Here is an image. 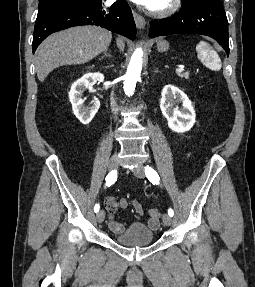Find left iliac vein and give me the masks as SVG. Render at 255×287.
<instances>
[{"label":"left iliac vein","instance_id":"obj_1","mask_svg":"<svg viewBox=\"0 0 255 287\" xmlns=\"http://www.w3.org/2000/svg\"><path fill=\"white\" fill-rule=\"evenodd\" d=\"M134 174L138 177V178H144L145 175H144V171H143V167L142 166H137L135 169H134ZM163 223L164 225L166 226H170L171 223H172V218L169 214H164L163 215Z\"/></svg>","mask_w":255,"mask_h":287}]
</instances>
